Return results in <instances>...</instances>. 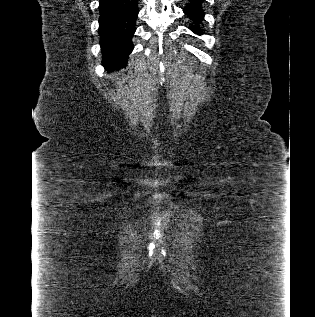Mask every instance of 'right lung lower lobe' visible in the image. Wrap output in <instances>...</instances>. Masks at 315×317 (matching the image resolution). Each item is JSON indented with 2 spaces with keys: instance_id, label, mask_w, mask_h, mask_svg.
<instances>
[{
  "instance_id": "98d812e1",
  "label": "right lung lower lobe",
  "mask_w": 315,
  "mask_h": 317,
  "mask_svg": "<svg viewBox=\"0 0 315 317\" xmlns=\"http://www.w3.org/2000/svg\"><path fill=\"white\" fill-rule=\"evenodd\" d=\"M137 4L138 0L99 1L102 64L109 71L123 66L133 50L131 39L136 30Z\"/></svg>"
}]
</instances>
